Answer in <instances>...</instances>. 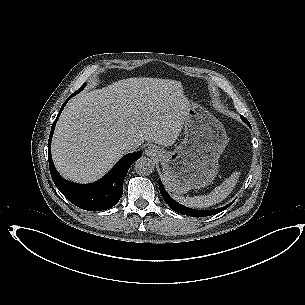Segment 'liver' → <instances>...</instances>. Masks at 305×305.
<instances>
[{"label":"liver","instance_id":"6515ba94","mask_svg":"<svg viewBox=\"0 0 305 305\" xmlns=\"http://www.w3.org/2000/svg\"><path fill=\"white\" fill-rule=\"evenodd\" d=\"M161 87L182 92L178 81L165 80ZM187 107L155 110L147 84L137 78L83 92L69 101L57 122L52 140L55 167L65 179L94 182L127 153L123 145L128 140L173 145Z\"/></svg>","mask_w":305,"mask_h":305}]
</instances>
